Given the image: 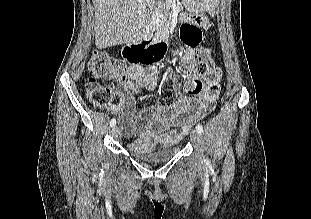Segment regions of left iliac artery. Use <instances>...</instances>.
Masks as SVG:
<instances>
[{"label": "left iliac artery", "instance_id": "44dca946", "mask_svg": "<svg viewBox=\"0 0 311 219\" xmlns=\"http://www.w3.org/2000/svg\"><path fill=\"white\" fill-rule=\"evenodd\" d=\"M196 130H197L199 133H203V127H202V125L198 124V125L196 126ZM207 163H208V160H207Z\"/></svg>", "mask_w": 311, "mask_h": 219}]
</instances>
